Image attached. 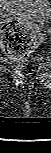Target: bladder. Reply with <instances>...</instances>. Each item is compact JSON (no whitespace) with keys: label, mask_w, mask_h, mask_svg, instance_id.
I'll return each instance as SVG.
<instances>
[{"label":"bladder","mask_w":51,"mask_h":153,"mask_svg":"<svg viewBox=\"0 0 51 153\" xmlns=\"http://www.w3.org/2000/svg\"><path fill=\"white\" fill-rule=\"evenodd\" d=\"M1 10L27 22L46 23L51 17L49 0H0Z\"/></svg>","instance_id":"31cf9c89"}]
</instances>
